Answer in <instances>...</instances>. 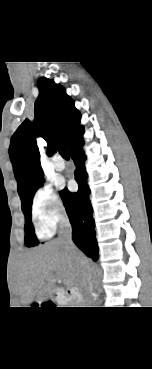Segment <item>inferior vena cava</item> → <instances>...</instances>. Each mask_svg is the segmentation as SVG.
I'll list each match as a JSON object with an SVG mask.
<instances>
[{
    "mask_svg": "<svg viewBox=\"0 0 152 369\" xmlns=\"http://www.w3.org/2000/svg\"><path fill=\"white\" fill-rule=\"evenodd\" d=\"M58 241H60L65 250L74 256L75 260L80 265V289L82 293V304L83 307H94V298L92 295L93 285H92V272L90 266L87 262L82 260L80 256H77V249L72 241V227L69 219L62 216L59 220L58 229Z\"/></svg>",
    "mask_w": 152,
    "mask_h": 369,
    "instance_id": "obj_1",
    "label": "inferior vena cava"
}]
</instances>
